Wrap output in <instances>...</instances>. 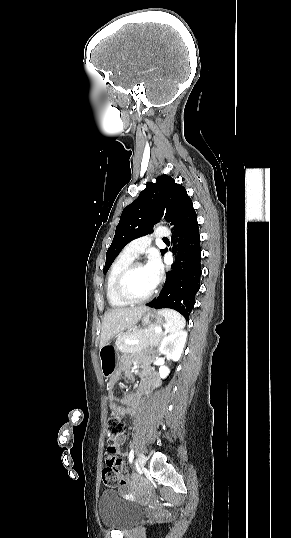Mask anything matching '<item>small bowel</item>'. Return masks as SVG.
I'll return each instance as SVG.
<instances>
[{
	"instance_id": "obj_1",
	"label": "small bowel",
	"mask_w": 291,
	"mask_h": 538,
	"mask_svg": "<svg viewBox=\"0 0 291 538\" xmlns=\"http://www.w3.org/2000/svg\"><path fill=\"white\" fill-rule=\"evenodd\" d=\"M128 360L124 358L122 361V369L126 371L127 377H130V374L127 372ZM119 378V373L114 374L107 383L108 390V399L110 408L119 413L120 415H130L135 416L140 411V399L146 388V385L154 382V376L149 375L146 379V384L140 386L139 390L136 393L125 395L124 397H117L114 393L117 381ZM125 443V437L122 435L117 440V446L123 445Z\"/></svg>"
}]
</instances>
